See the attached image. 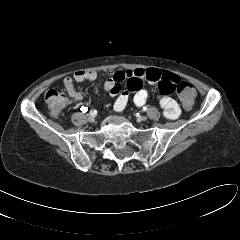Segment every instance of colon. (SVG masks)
<instances>
[{
	"label": "colon",
	"mask_w": 240,
	"mask_h": 240,
	"mask_svg": "<svg viewBox=\"0 0 240 240\" xmlns=\"http://www.w3.org/2000/svg\"><path fill=\"white\" fill-rule=\"evenodd\" d=\"M175 90L183 104L189 109L196 98V91L188 82L180 81L177 83ZM45 102L49 112L52 115H58L64 109L67 103V96L62 91L49 90L45 95Z\"/></svg>",
	"instance_id": "5ec220e1"
}]
</instances>
